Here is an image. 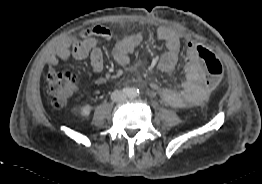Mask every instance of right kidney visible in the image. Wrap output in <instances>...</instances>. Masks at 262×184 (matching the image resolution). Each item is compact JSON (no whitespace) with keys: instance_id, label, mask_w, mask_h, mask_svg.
Wrapping results in <instances>:
<instances>
[{"instance_id":"obj_1","label":"right kidney","mask_w":262,"mask_h":184,"mask_svg":"<svg viewBox=\"0 0 262 184\" xmlns=\"http://www.w3.org/2000/svg\"><path fill=\"white\" fill-rule=\"evenodd\" d=\"M91 111V106L90 105H86L84 107H82L81 109V113L83 116H88L90 114Z\"/></svg>"}]
</instances>
